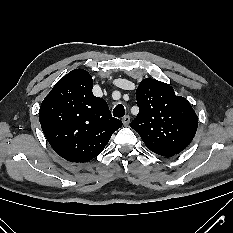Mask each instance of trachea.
<instances>
[{"label":"trachea","mask_w":233,"mask_h":233,"mask_svg":"<svg viewBox=\"0 0 233 233\" xmlns=\"http://www.w3.org/2000/svg\"><path fill=\"white\" fill-rule=\"evenodd\" d=\"M113 115L118 118L123 117L125 115L124 106L122 104H118L113 110Z\"/></svg>","instance_id":"1"}]
</instances>
